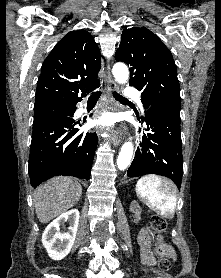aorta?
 I'll return each mask as SVG.
<instances>
[{
    "label": "aorta",
    "mask_w": 221,
    "mask_h": 278,
    "mask_svg": "<svg viewBox=\"0 0 221 278\" xmlns=\"http://www.w3.org/2000/svg\"><path fill=\"white\" fill-rule=\"evenodd\" d=\"M115 80L120 84H125L129 77L128 67L121 62L116 63L112 69ZM133 155V144L125 142L120 150L117 158V167L120 170H125L131 162Z\"/></svg>",
    "instance_id": "obj_1"
}]
</instances>
